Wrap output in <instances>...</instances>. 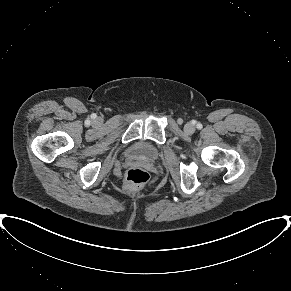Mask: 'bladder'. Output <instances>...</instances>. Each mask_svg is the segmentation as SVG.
Instances as JSON below:
<instances>
[{
	"label": "bladder",
	"mask_w": 291,
	"mask_h": 291,
	"mask_svg": "<svg viewBox=\"0 0 291 291\" xmlns=\"http://www.w3.org/2000/svg\"><path fill=\"white\" fill-rule=\"evenodd\" d=\"M127 154L132 158L152 161L158 157L159 150L153 143L139 140L129 147Z\"/></svg>",
	"instance_id": "bladder-1"
}]
</instances>
